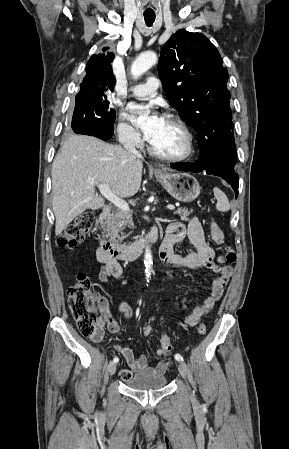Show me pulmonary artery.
<instances>
[{
    "label": "pulmonary artery",
    "instance_id": "1",
    "mask_svg": "<svg viewBox=\"0 0 289 449\" xmlns=\"http://www.w3.org/2000/svg\"><path fill=\"white\" fill-rule=\"evenodd\" d=\"M160 86V80L156 77H149L144 84H139L130 89L133 96L141 99H149L156 95Z\"/></svg>",
    "mask_w": 289,
    "mask_h": 449
}]
</instances>
